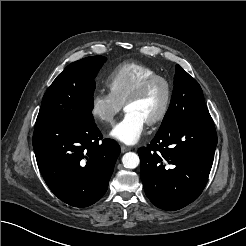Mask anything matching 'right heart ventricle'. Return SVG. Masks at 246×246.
<instances>
[{"label": "right heart ventricle", "mask_w": 246, "mask_h": 246, "mask_svg": "<svg viewBox=\"0 0 246 246\" xmlns=\"http://www.w3.org/2000/svg\"><path fill=\"white\" fill-rule=\"evenodd\" d=\"M157 71L145 64L125 62L115 67L107 76L105 84L109 93L124 104L130 93L146 78Z\"/></svg>", "instance_id": "1"}]
</instances>
